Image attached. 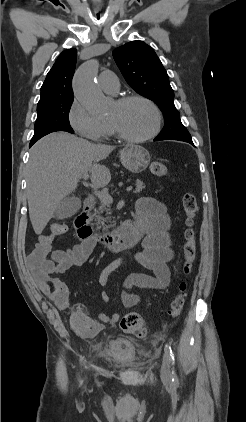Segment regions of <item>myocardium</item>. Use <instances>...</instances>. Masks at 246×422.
Listing matches in <instances>:
<instances>
[{
    "mask_svg": "<svg viewBox=\"0 0 246 422\" xmlns=\"http://www.w3.org/2000/svg\"><path fill=\"white\" fill-rule=\"evenodd\" d=\"M134 101H140V102L146 103L152 108V110L155 113V117H156L155 125L148 134L144 136H140V137L132 136L124 132L114 122L109 121V124L119 138L128 142H132V143H143L154 138L160 132L161 127H162V122H163V115L160 108L153 100L142 95H127V96L120 97L119 99L116 100V104H118L119 106H123Z\"/></svg>",
    "mask_w": 246,
    "mask_h": 422,
    "instance_id": "1",
    "label": "myocardium"
}]
</instances>
